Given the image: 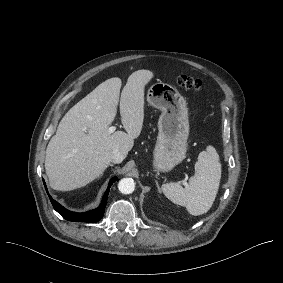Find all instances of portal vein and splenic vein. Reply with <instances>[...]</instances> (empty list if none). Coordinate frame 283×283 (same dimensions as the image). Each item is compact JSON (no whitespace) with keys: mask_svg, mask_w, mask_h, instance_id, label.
Here are the masks:
<instances>
[{"mask_svg":"<svg viewBox=\"0 0 283 283\" xmlns=\"http://www.w3.org/2000/svg\"><path fill=\"white\" fill-rule=\"evenodd\" d=\"M114 131H115V127H109L107 132L108 134H113Z\"/></svg>","mask_w":283,"mask_h":283,"instance_id":"18ae733b","label":"portal vein and splenic vein"}]
</instances>
